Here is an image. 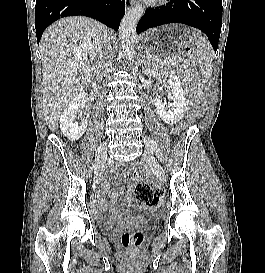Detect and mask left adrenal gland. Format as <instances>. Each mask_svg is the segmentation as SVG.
Returning a JSON list of instances; mask_svg holds the SVG:
<instances>
[{
  "label": "left adrenal gland",
  "instance_id": "obj_1",
  "mask_svg": "<svg viewBox=\"0 0 265 273\" xmlns=\"http://www.w3.org/2000/svg\"><path fill=\"white\" fill-rule=\"evenodd\" d=\"M143 61H144V64L146 65L148 61H146L145 59V55H143Z\"/></svg>",
  "mask_w": 265,
  "mask_h": 273
}]
</instances>
